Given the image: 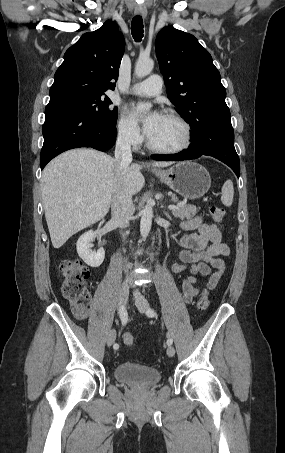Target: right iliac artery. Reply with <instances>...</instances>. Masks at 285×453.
I'll return each instance as SVG.
<instances>
[{"mask_svg":"<svg viewBox=\"0 0 285 453\" xmlns=\"http://www.w3.org/2000/svg\"><path fill=\"white\" fill-rule=\"evenodd\" d=\"M119 316H120L122 324L123 325L126 324L127 319H128V314H127V310L125 309V307L123 305L119 307ZM113 347L116 350L119 348V345L116 343V344H114Z\"/></svg>","mask_w":285,"mask_h":453,"instance_id":"obj_1","label":"right iliac artery"}]
</instances>
